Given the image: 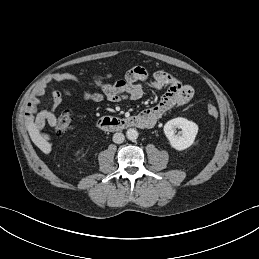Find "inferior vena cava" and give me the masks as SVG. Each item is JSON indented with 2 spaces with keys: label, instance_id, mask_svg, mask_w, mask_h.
Here are the masks:
<instances>
[{
  "label": "inferior vena cava",
  "instance_id": "obj_1",
  "mask_svg": "<svg viewBox=\"0 0 259 259\" xmlns=\"http://www.w3.org/2000/svg\"><path fill=\"white\" fill-rule=\"evenodd\" d=\"M125 137H124V134L122 133H115L113 135V142L116 143V144H120L124 141Z\"/></svg>",
  "mask_w": 259,
  "mask_h": 259
}]
</instances>
